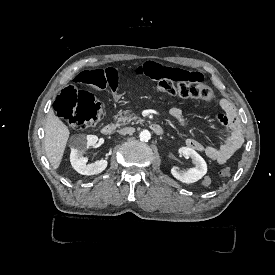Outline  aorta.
I'll return each mask as SVG.
<instances>
[{
    "instance_id": "762f6f07",
    "label": "aorta",
    "mask_w": 275,
    "mask_h": 275,
    "mask_svg": "<svg viewBox=\"0 0 275 275\" xmlns=\"http://www.w3.org/2000/svg\"><path fill=\"white\" fill-rule=\"evenodd\" d=\"M139 138L141 141L147 142L151 139V133L148 130H143L140 132Z\"/></svg>"
}]
</instances>
